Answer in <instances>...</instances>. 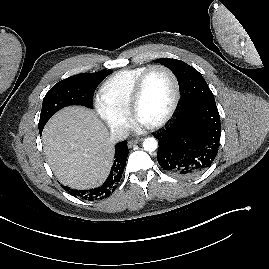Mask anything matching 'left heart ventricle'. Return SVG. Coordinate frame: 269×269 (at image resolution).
<instances>
[{
	"mask_svg": "<svg viewBox=\"0 0 269 269\" xmlns=\"http://www.w3.org/2000/svg\"><path fill=\"white\" fill-rule=\"evenodd\" d=\"M174 97L171 77L163 70H155L148 76L138 106L137 118L143 125H149L162 118Z\"/></svg>",
	"mask_w": 269,
	"mask_h": 269,
	"instance_id": "left-heart-ventricle-1",
	"label": "left heart ventricle"
}]
</instances>
